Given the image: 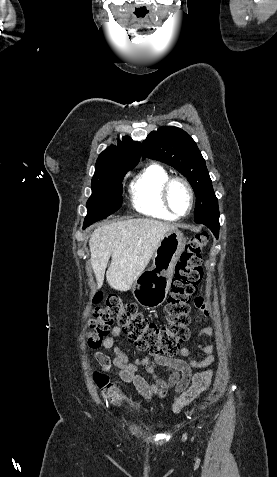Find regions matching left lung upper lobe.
<instances>
[{
    "label": "left lung upper lobe",
    "mask_w": 277,
    "mask_h": 477,
    "mask_svg": "<svg viewBox=\"0 0 277 477\" xmlns=\"http://www.w3.org/2000/svg\"><path fill=\"white\" fill-rule=\"evenodd\" d=\"M143 158L162 161L187 177L196 195L195 222L219 219L218 200L195 141L185 131L173 126L152 131L143 141Z\"/></svg>",
    "instance_id": "obj_1"
}]
</instances>
